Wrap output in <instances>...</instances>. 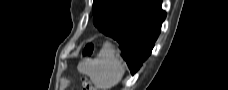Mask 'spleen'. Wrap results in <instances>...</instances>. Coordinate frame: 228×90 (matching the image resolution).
Listing matches in <instances>:
<instances>
[{
	"mask_svg": "<svg viewBox=\"0 0 228 90\" xmlns=\"http://www.w3.org/2000/svg\"><path fill=\"white\" fill-rule=\"evenodd\" d=\"M81 72L88 75L99 90H109L121 81L125 69L119 53L105 44L96 58L85 61Z\"/></svg>",
	"mask_w": 228,
	"mask_h": 90,
	"instance_id": "spleen-1",
	"label": "spleen"
}]
</instances>
